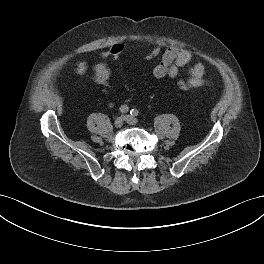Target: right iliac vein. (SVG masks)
I'll return each instance as SVG.
<instances>
[{
  "mask_svg": "<svg viewBox=\"0 0 264 264\" xmlns=\"http://www.w3.org/2000/svg\"><path fill=\"white\" fill-rule=\"evenodd\" d=\"M123 125V118L122 117H118L115 122H114V126L116 128H120Z\"/></svg>",
  "mask_w": 264,
  "mask_h": 264,
  "instance_id": "63e3f726",
  "label": "right iliac vein"
}]
</instances>
